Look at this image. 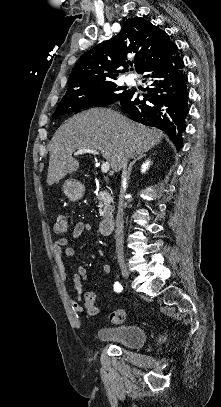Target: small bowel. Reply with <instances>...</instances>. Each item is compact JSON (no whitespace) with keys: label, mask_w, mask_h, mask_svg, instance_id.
Segmentation results:
<instances>
[{"label":"small bowel","mask_w":221,"mask_h":407,"mask_svg":"<svg viewBox=\"0 0 221 407\" xmlns=\"http://www.w3.org/2000/svg\"><path fill=\"white\" fill-rule=\"evenodd\" d=\"M91 232L92 226L90 224L79 221L74 225L72 229V238L77 239L84 233ZM70 243L71 241L67 238L57 239L53 245V253L57 259L60 281L63 284H68L71 281L74 289L77 292L76 298L70 299L71 307L76 313L81 314L84 310L82 301L83 298L85 300L86 297V294L83 295V284L87 281L88 274L84 267H78L73 271L72 274H69L68 266L64 263V260L70 259L74 255V249L70 246ZM102 275L104 277H108L110 275V268L108 266H104L102 268Z\"/></svg>","instance_id":"small-bowel-1"}]
</instances>
